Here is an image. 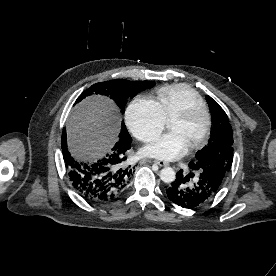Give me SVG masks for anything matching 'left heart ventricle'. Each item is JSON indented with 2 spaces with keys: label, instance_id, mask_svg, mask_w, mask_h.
Masks as SVG:
<instances>
[{
  "label": "left heart ventricle",
  "instance_id": "1",
  "mask_svg": "<svg viewBox=\"0 0 276 276\" xmlns=\"http://www.w3.org/2000/svg\"><path fill=\"white\" fill-rule=\"evenodd\" d=\"M205 126V119L202 115L192 120L184 121L179 119L171 120L170 130L179 132L187 141L189 146L193 145L202 135Z\"/></svg>",
  "mask_w": 276,
  "mask_h": 276
}]
</instances>
